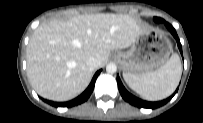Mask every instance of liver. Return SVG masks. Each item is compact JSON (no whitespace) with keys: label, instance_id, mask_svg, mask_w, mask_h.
I'll use <instances>...</instances> for the list:
<instances>
[{"label":"liver","instance_id":"6515ba94","mask_svg":"<svg viewBox=\"0 0 203 123\" xmlns=\"http://www.w3.org/2000/svg\"><path fill=\"white\" fill-rule=\"evenodd\" d=\"M127 14H86L69 20L53 19L39 25L27 46V75L43 98L68 101L89 85L96 57L103 67L111 50L124 49L147 31Z\"/></svg>","mask_w":203,"mask_h":123}]
</instances>
